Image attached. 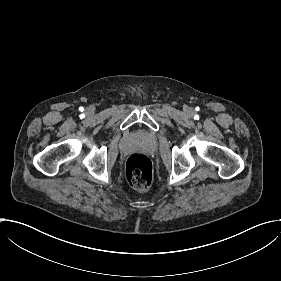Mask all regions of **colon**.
Wrapping results in <instances>:
<instances>
[{"label": "colon", "mask_w": 281, "mask_h": 281, "mask_svg": "<svg viewBox=\"0 0 281 281\" xmlns=\"http://www.w3.org/2000/svg\"><path fill=\"white\" fill-rule=\"evenodd\" d=\"M125 174L131 188L148 190L153 183V170L150 160L143 154L134 153L125 163Z\"/></svg>", "instance_id": "colon-1"}]
</instances>
